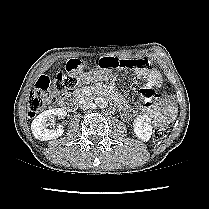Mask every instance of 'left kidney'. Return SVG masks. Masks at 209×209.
Returning a JSON list of instances; mask_svg holds the SVG:
<instances>
[{
  "mask_svg": "<svg viewBox=\"0 0 209 209\" xmlns=\"http://www.w3.org/2000/svg\"><path fill=\"white\" fill-rule=\"evenodd\" d=\"M150 118L145 115H138L133 122V129L136 136L143 140L148 141L152 135V126Z\"/></svg>",
  "mask_w": 209,
  "mask_h": 209,
  "instance_id": "left-kidney-1",
  "label": "left kidney"
}]
</instances>
